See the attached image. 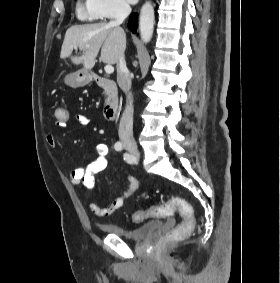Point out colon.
<instances>
[{
	"instance_id": "colon-1",
	"label": "colon",
	"mask_w": 280,
	"mask_h": 283,
	"mask_svg": "<svg viewBox=\"0 0 280 283\" xmlns=\"http://www.w3.org/2000/svg\"><path fill=\"white\" fill-rule=\"evenodd\" d=\"M54 119L55 122H68V119H73V114H69L67 107L57 105L54 111ZM175 210H178L181 221L176 228L167 233L166 237L170 239H181L188 236L195 227L193 208L183 198L173 197L161 206L138 210L133 213L132 219L138 223L146 218H166L170 217Z\"/></svg>"
}]
</instances>
